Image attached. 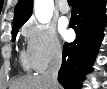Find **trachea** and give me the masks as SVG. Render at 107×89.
Instances as JSON below:
<instances>
[{"label":"trachea","mask_w":107,"mask_h":89,"mask_svg":"<svg viewBox=\"0 0 107 89\" xmlns=\"http://www.w3.org/2000/svg\"><path fill=\"white\" fill-rule=\"evenodd\" d=\"M68 3L71 4V3H72V0H68Z\"/></svg>","instance_id":"trachea-1"}]
</instances>
